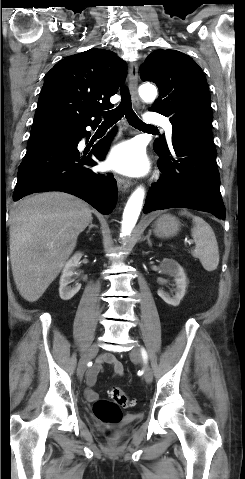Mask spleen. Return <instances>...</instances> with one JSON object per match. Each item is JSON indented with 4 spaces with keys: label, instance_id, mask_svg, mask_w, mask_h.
<instances>
[{
    "label": "spleen",
    "instance_id": "obj_1",
    "mask_svg": "<svg viewBox=\"0 0 245 479\" xmlns=\"http://www.w3.org/2000/svg\"><path fill=\"white\" fill-rule=\"evenodd\" d=\"M180 214L193 220L194 226L191 231L195 248L191 250L192 256L200 260L205 270L214 271L219 264V249L213 229L203 218L194 216L186 210Z\"/></svg>",
    "mask_w": 245,
    "mask_h": 479
}]
</instances>
